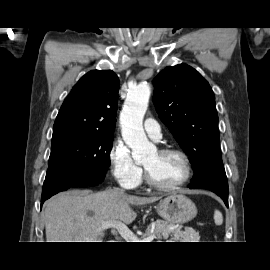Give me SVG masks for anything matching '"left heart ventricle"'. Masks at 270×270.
I'll return each instance as SVG.
<instances>
[{
	"label": "left heart ventricle",
	"mask_w": 270,
	"mask_h": 270,
	"mask_svg": "<svg viewBox=\"0 0 270 270\" xmlns=\"http://www.w3.org/2000/svg\"><path fill=\"white\" fill-rule=\"evenodd\" d=\"M153 181L161 185H171L178 182L184 175V166L179 156L175 154L151 153L143 162Z\"/></svg>",
	"instance_id": "left-heart-ventricle-1"
}]
</instances>
